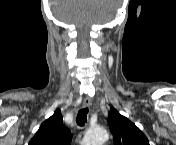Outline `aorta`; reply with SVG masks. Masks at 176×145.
Here are the masks:
<instances>
[{
	"label": "aorta",
	"instance_id": "762f6f07",
	"mask_svg": "<svg viewBox=\"0 0 176 145\" xmlns=\"http://www.w3.org/2000/svg\"><path fill=\"white\" fill-rule=\"evenodd\" d=\"M108 140L107 131L101 127H91L87 132L83 140L84 145H103Z\"/></svg>",
	"mask_w": 176,
	"mask_h": 145
}]
</instances>
